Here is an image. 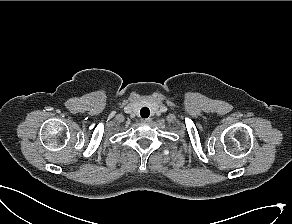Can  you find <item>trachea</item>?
Returning a JSON list of instances; mask_svg holds the SVG:
<instances>
[{
	"label": "trachea",
	"mask_w": 292,
	"mask_h": 224,
	"mask_svg": "<svg viewBox=\"0 0 292 224\" xmlns=\"http://www.w3.org/2000/svg\"><path fill=\"white\" fill-rule=\"evenodd\" d=\"M140 115H141V117H143V118H147V117H149V115H150V110H149V108H147V107H143V108L140 110Z\"/></svg>",
	"instance_id": "3493384b"
}]
</instances>
